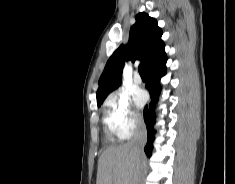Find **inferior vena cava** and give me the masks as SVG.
Segmentation results:
<instances>
[{
  "mask_svg": "<svg viewBox=\"0 0 235 184\" xmlns=\"http://www.w3.org/2000/svg\"><path fill=\"white\" fill-rule=\"evenodd\" d=\"M146 142L147 132L145 124L143 120H136L134 136L132 138V142H130L134 154H137V156L143 154V148Z\"/></svg>",
  "mask_w": 235,
  "mask_h": 184,
  "instance_id": "602c4592",
  "label": "inferior vena cava"
}]
</instances>
